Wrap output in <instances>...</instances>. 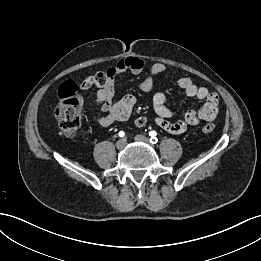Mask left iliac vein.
<instances>
[{
  "mask_svg": "<svg viewBox=\"0 0 261 261\" xmlns=\"http://www.w3.org/2000/svg\"><path fill=\"white\" fill-rule=\"evenodd\" d=\"M135 140L138 141V142H143V143H146V144H150L149 139L146 136H144V135H136L135 136Z\"/></svg>",
  "mask_w": 261,
  "mask_h": 261,
  "instance_id": "obj_1",
  "label": "left iliac vein"
}]
</instances>
